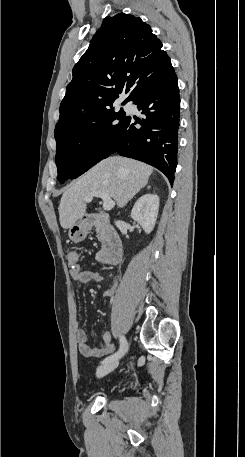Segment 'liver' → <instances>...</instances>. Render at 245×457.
Here are the masks:
<instances>
[{
    "instance_id": "obj_1",
    "label": "liver",
    "mask_w": 245,
    "mask_h": 457,
    "mask_svg": "<svg viewBox=\"0 0 245 457\" xmlns=\"http://www.w3.org/2000/svg\"><path fill=\"white\" fill-rule=\"evenodd\" d=\"M152 172V166L133 158H104L74 180L62 194L59 204L61 226L63 229H70L78 218L84 216L87 206L85 198L91 196L95 190L108 192L118 206H125L126 202L147 184Z\"/></svg>"
}]
</instances>
